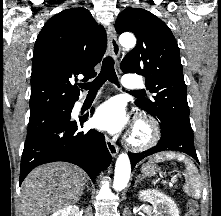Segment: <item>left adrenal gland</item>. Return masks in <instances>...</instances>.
I'll return each mask as SVG.
<instances>
[{
  "instance_id": "a2214340",
  "label": "left adrenal gland",
  "mask_w": 221,
  "mask_h": 216,
  "mask_svg": "<svg viewBox=\"0 0 221 216\" xmlns=\"http://www.w3.org/2000/svg\"><path fill=\"white\" fill-rule=\"evenodd\" d=\"M142 178H143V177L138 176L137 180L135 181V186H134L135 188L137 187L138 182H139L140 180H142Z\"/></svg>"
}]
</instances>
